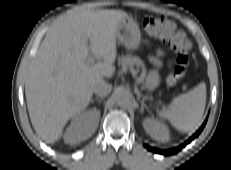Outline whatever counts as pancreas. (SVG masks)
I'll list each match as a JSON object with an SVG mask.
<instances>
[{
	"instance_id": "obj_1",
	"label": "pancreas",
	"mask_w": 231,
	"mask_h": 170,
	"mask_svg": "<svg viewBox=\"0 0 231 170\" xmlns=\"http://www.w3.org/2000/svg\"><path fill=\"white\" fill-rule=\"evenodd\" d=\"M118 64L121 65L123 69L129 68L131 70H133L134 66H136L137 71L141 67L143 72H142V76L139 80L141 81L143 79V75L145 74L146 70H145L144 63L142 62V60L139 57L132 56L131 54L122 55L121 57L118 58Z\"/></svg>"
}]
</instances>
